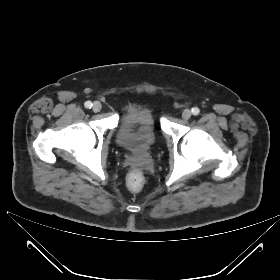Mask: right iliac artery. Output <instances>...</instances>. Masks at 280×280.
Listing matches in <instances>:
<instances>
[{"mask_svg":"<svg viewBox=\"0 0 280 280\" xmlns=\"http://www.w3.org/2000/svg\"><path fill=\"white\" fill-rule=\"evenodd\" d=\"M84 105H85V107H86V108H89V109L93 106V104H92V102H91V101H87V102H85V104H84Z\"/></svg>","mask_w":280,"mask_h":280,"instance_id":"obj_1","label":"right iliac artery"}]
</instances>
